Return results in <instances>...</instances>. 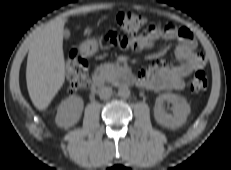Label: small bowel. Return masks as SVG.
<instances>
[{"label": "small bowel", "mask_w": 231, "mask_h": 170, "mask_svg": "<svg viewBox=\"0 0 231 170\" xmlns=\"http://www.w3.org/2000/svg\"><path fill=\"white\" fill-rule=\"evenodd\" d=\"M158 40L178 42L175 56L179 64L170 66L162 61H155L149 68L137 74V83L155 91L181 90L185 86L184 79L194 70L203 68L206 62L187 27L174 24L160 27L152 24L145 32L136 36H127L116 31H109L103 36L106 43L132 50L150 49Z\"/></svg>", "instance_id": "small-bowel-1"}]
</instances>
